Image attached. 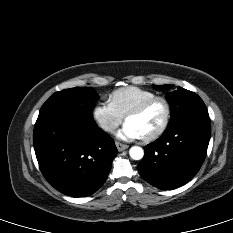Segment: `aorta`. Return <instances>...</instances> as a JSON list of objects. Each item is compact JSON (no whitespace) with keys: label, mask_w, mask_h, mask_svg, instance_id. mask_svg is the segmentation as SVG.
<instances>
[{"label":"aorta","mask_w":233,"mask_h":233,"mask_svg":"<svg viewBox=\"0 0 233 233\" xmlns=\"http://www.w3.org/2000/svg\"><path fill=\"white\" fill-rule=\"evenodd\" d=\"M129 155L134 160H140L144 156V150L139 146H133L129 150Z\"/></svg>","instance_id":"1"}]
</instances>
